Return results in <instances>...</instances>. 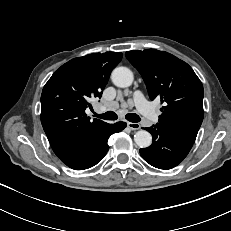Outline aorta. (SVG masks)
<instances>
[{
  "label": "aorta",
  "mask_w": 231,
  "mask_h": 231,
  "mask_svg": "<svg viewBox=\"0 0 231 231\" xmlns=\"http://www.w3.org/2000/svg\"><path fill=\"white\" fill-rule=\"evenodd\" d=\"M113 84L120 88L129 87L134 80L132 71L127 67H117L111 73ZM134 141L140 148L149 147L152 143V136L146 130H139L134 134Z\"/></svg>",
  "instance_id": "1"
}]
</instances>
